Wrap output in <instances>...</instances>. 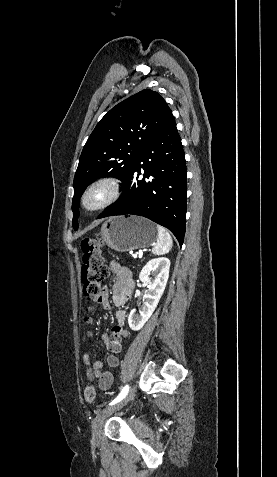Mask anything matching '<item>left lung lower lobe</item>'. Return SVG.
<instances>
[{
    "label": "left lung lower lobe",
    "instance_id": "left-lung-lower-lobe-1",
    "mask_svg": "<svg viewBox=\"0 0 277 477\" xmlns=\"http://www.w3.org/2000/svg\"><path fill=\"white\" fill-rule=\"evenodd\" d=\"M143 173L144 178L139 179ZM186 161L174 118L144 146L123 182L122 199L98 218L139 215L166 228L183 244L186 229Z\"/></svg>",
    "mask_w": 277,
    "mask_h": 477
}]
</instances>
